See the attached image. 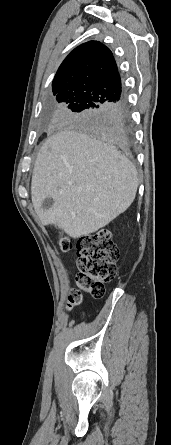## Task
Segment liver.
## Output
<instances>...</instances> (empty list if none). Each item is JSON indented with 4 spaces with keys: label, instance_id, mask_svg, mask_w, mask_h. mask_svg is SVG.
I'll list each match as a JSON object with an SVG mask.
<instances>
[{
    "label": "liver",
    "instance_id": "1",
    "mask_svg": "<svg viewBox=\"0 0 171 445\" xmlns=\"http://www.w3.org/2000/svg\"><path fill=\"white\" fill-rule=\"evenodd\" d=\"M137 170L115 146L69 129L51 135L33 170L31 198L44 225L76 239L96 232L135 199ZM45 198L53 205L42 209Z\"/></svg>",
    "mask_w": 171,
    "mask_h": 445
}]
</instances>
